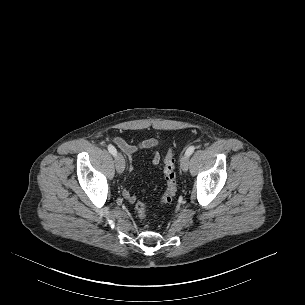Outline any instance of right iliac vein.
<instances>
[{"label":"right iliac vein","instance_id":"63e3f726","mask_svg":"<svg viewBox=\"0 0 305 305\" xmlns=\"http://www.w3.org/2000/svg\"><path fill=\"white\" fill-rule=\"evenodd\" d=\"M116 170L119 174L124 172L125 169V160L121 154H117L115 157Z\"/></svg>","mask_w":305,"mask_h":305}]
</instances>
